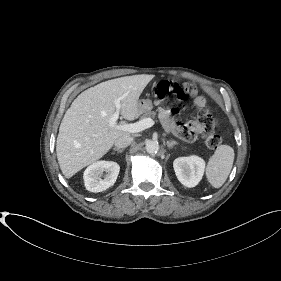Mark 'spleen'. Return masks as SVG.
I'll return each instance as SVG.
<instances>
[{"mask_svg":"<svg viewBox=\"0 0 281 281\" xmlns=\"http://www.w3.org/2000/svg\"><path fill=\"white\" fill-rule=\"evenodd\" d=\"M234 149L229 145H220L210 157L206 177L214 188H220L227 180L234 162Z\"/></svg>","mask_w":281,"mask_h":281,"instance_id":"obj_1","label":"spleen"}]
</instances>
